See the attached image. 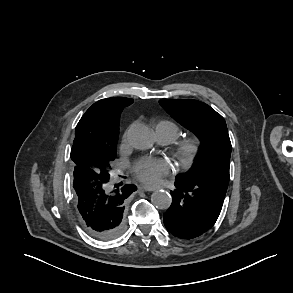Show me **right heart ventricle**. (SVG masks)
Instances as JSON below:
<instances>
[{"instance_id":"1","label":"right heart ventricle","mask_w":293,"mask_h":293,"mask_svg":"<svg viewBox=\"0 0 293 293\" xmlns=\"http://www.w3.org/2000/svg\"><path fill=\"white\" fill-rule=\"evenodd\" d=\"M156 129H160L163 133L167 134L172 139V142L181 134L178 124L171 120H161L156 125Z\"/></svg>"}]
</instances>
